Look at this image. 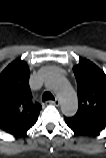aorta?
<instances>
[{"instance_id": "762f6f07", "label": "aorta", "mask_w": 106, "mask_h": 158, "mask_svg": "<svg viewBox=\"0 0 106 158\" xmlns=\"http://www.w3.org/2000/svg\"><path fill=\"white\" fill-rule=\"evenodd\" d=\"M45 84L57 93L62 113L68 117L75 115L78 109L77 96L67 79L57 72H50Z\"/></svg>"}]
</instances>
